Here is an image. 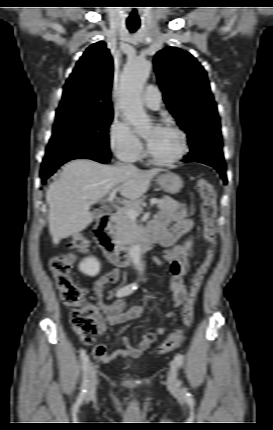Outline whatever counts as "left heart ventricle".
Listing matches in <instances>:
<instances>
[{
	"label": "left heart ventricle",
	"instance_id": "1",
	"mask_svg": "<svg viewBox=\"0 0 273 430\" xmlns=\"http://www.w3.org/2000/svg\"><path fill=\"white\" fill-rule=\"evenodd\" d=\"M146 138H152L149 145L151 153L159 159H169L174 157L180 149L179 136L168 129L159 128L156 132L154 129H149L146 133Z\"/></svg>",
	"mask_w": 273,
	"mask_h": 430
}]
</instances>
